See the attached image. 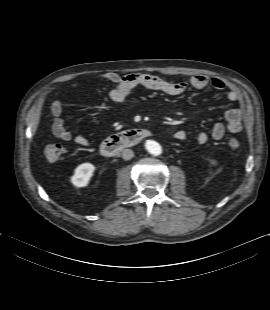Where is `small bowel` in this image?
<instances>
[{
    "instance_id": "1",
    "label": "small bowel",
    "mask_w": 270,
    "mask_h": 310,
    "mask_svg": "<svg viewBox=\"0 0 270 310\" xmlns=\"http://www.w3.org/2000/svg\"><path fill=\"white\" fill-rule=\"evenodd\" d=\"M102 80L114 84V88L110 92V98L115 103L124 102L131 92L138 87L163 92L168 95L183 94L189 86L195 89H204L211 85L216 90H224L226 84L217 78L210 79L206 75H196L190 79V82H170L151 74L130 73L120 75L115 72H108L100 76ZM240 93L236 89H228L227 99L231 102L240 101ZM63 103L55 101L51 105V113L53 116L52 132L54 136L64 142L73 141L81 147H90L91 142L82 135H73L65 126L62 118ZM226 125L223 123H215L211 129V136L215 140L223 138L226 131L230 133H238L242 130L243 113L238 108L228 109L225 113ZM174 138L183 141L187 138L186 132L178 130L174 133ZM208 134L201 132L197 136L199 144H205L208 141Z\"/></svg>"
}]
</instances>
